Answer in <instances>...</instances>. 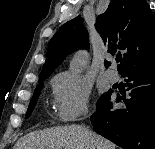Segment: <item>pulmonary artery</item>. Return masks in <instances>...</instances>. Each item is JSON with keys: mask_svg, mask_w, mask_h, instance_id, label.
Here are the masks:
<instances>
[{"mask_svg": "<svg viewBox=\"0 0 155 149\" xmlns=\"http://www.w3.org/2000/svg\"><path fill=\"white\" fill-rule=\"evenodd\" d=\"M105 76L108 79V81H110L111 83H115L119 80V74L114 69L108 70L105 73Z\"/></svg>", "mask_w": 155, "mask_h": 149, "instance_id": "obj_1", "label": "pulmonary artery"}]
</instances>
